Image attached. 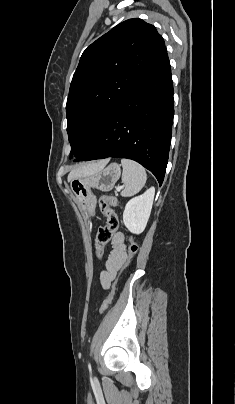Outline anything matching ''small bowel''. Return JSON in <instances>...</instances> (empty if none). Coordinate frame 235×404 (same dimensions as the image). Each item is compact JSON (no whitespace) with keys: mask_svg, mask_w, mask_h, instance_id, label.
Wrapping results in <instances>:
<instances>
[{"mask_svg":"<svg viewBox=\"0 0 235 404\" xmlns=\"http://www.w3.org/2000/svg\"><path fill=\"white\" fill-rule=\"evenodd\" d=\"M111 251L105 263V269L100 274L103 289H109L118 271L127 260L125 234L116 232L111 240Z\"/></svg>","mask_w":235,"mask_h":404,"instance_id":"c3829d8e","label":"small bowel"}]
</instances>
